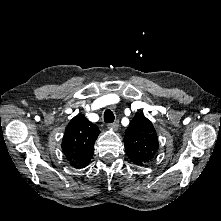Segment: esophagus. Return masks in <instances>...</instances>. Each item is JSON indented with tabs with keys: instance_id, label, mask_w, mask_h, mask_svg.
<instances>
[{
	"instance_id": "34e87169",
	"label": "esophagus",
	"mask_w": 221,
	"mask_h": 221,
	"mask_svg": "<svg viewBox=\"0 0 221 221\" xmlns=\"http://www.w3.org/2000/svg\"><path fill=\"white\" fill-rule=\"evenodd\" d=\"M118 126H119V122L118 121L108 124V128L110 130H117Z\"/></svg>"
}]
</instances>
